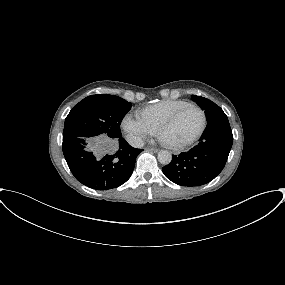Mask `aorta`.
Returning <instances> with one entry per match:
<instances>
[{"mask_svg":"<svg viewBox=\"0 0 285 285\" xmlns=\"http://www.w3.org/2000/svg\"><path fill=\"white\" fill-rule=\"evenodd\" d=\"M172 160V155L169 151L167 150H161L158 152V161L163 164L167 165L171 162Z\"/></svg>","mask_w":285,"mask_h":285,"instance_id":"762f6f07","label":"aorta"}]
</instances>
